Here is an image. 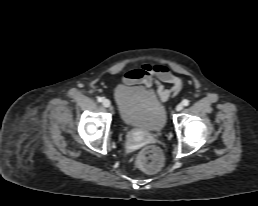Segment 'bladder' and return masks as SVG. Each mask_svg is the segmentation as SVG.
I'll list each match as a JSON object with an SVG mask.
<instances>
[{"instance_id": "31cf9c89", "label": "bladder", "mask_w": 258, "mask_h": 206, "mask_svg": "<svg viewBox=\"0 0 258 206\" xmlns=\"http://www.w3.org/2000/svg\"><path fill=\"white\" fill-rule=\"evenodd\" d=\"M114 96L125 125L150 132L164 128L166 108L153 91L141 86L118 85Z\"/></svg>"}]
</instances>
